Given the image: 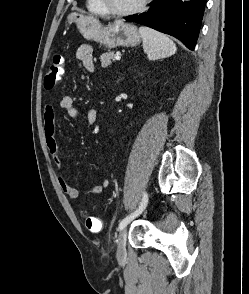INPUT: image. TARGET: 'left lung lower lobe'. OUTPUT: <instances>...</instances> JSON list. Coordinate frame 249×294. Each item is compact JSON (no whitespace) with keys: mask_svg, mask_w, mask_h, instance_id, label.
Returning a JSON list of instances; mask_svg holds the SVG:
<instances>
[{"mask_svg":"<svg viewBox=\"0 0 249 294\" xmlns=\"http://www.w3.org/2000/svg\"><path fill=\"white\" fill-rule=\"evenodd\" d=\"M207 0H153L144 14L125 17L160 32L176 37L190 50H194Z\"/></svg>","mask_w":249,"mask_h":294,"instance_id":"0a47b994","label":"left lung lower lobe"}]
</instances>
